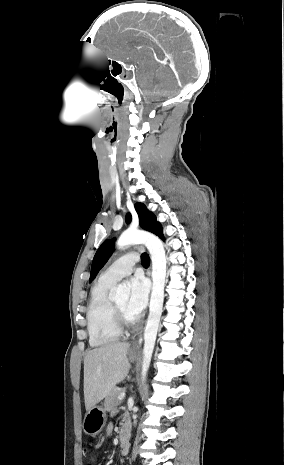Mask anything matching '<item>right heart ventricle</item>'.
I'll use <instances>...</instances> for the list:
<instances>
[{"label":"right heart ventricle","mask_w":284,"mask_h":465,"mask_svg":"<svg viewBox=\"0 0 284 465\" xmlns=\"http://www.w3.org/2000/svg\"><path fill=\"white\" fill-rule=\"evenodd\" d=\"M113 283L100 279L92 288L86 308L87 332L91 346H109L118 341V334L112 322V312L108 290Z\"/></svg>","instance_id":"obj_1"}]
</instances>
